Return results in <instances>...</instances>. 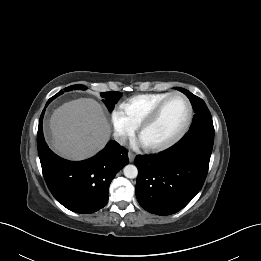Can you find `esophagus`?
<instances>
[{
  "label": "esophagus",
  "instance_id": "esophagus-1",
  "mask_svg": "<svg viewBox=\"0 0 261 261\" xmlns=\"http://www.w3.org/2000/svg\"><path fill=\"white\" fill-rule=\"evenodd\" d=\"M128 158L130 162H133L135 159V154L133 152H128Z\"/></svg>",
  "mask_w": 261,
  "mask_h": 261
}]
</instances>
